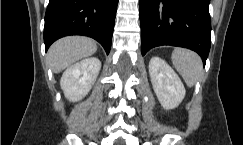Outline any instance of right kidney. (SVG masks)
I'll return each instance as SVG.
<instances>
[{"label":"right kidney","mask_w":243,"mask_h":145,"mask_svg":"<svg viewBox=\"0 0 243 145\" xmlns=\"http://www.w3.org/2000/svg\"><path fill=\"white\" fill-rule=\"evenodd\" d=\"M101 62L96 57L83 59L66 69L60 81L65 97L72 102L84 98L94 85Z\"/></svg>","instance_id":"obj_1"}]
</instances>
